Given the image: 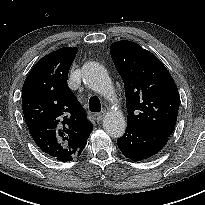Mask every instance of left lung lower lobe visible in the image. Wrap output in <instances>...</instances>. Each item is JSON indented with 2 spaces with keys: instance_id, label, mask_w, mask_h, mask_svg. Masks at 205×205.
I'll return each instance as SVG.
<instances>
[{
  "instance_id": "left-lung-lower-lobe-1",
  "label": "left lung lower lobe",
  "mask_w": 205,
  "mask_h": 205,
  "mask_svg": "<svg viewBox=\"0 0 205 205\" xmlns=\"http://www.w3.org/2000/svg\"><path fill=\"white\" fill-rule=\"evenodd\" d=\"M169 137L132 125L117 139L121 152L133 161H141L157 154L168 142Z\"/></svg>"
}]
</instances>
